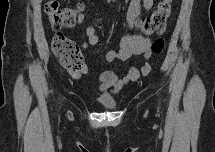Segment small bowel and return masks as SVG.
<instances>
[{
    "mask_svg": "<svg viewBox=\"0 0 215 152\" xmlns=\"http://www.w3.org/2000/svg\"><path fill=\"white\" fill-rule=\"evenodd\" d=\"M153 0H131L127 9V22L130 28H134L136 20L139 16L141 6L145 10H150L153 7ZM78 13L79 24L85 27L84 34L80 35L83 37L82 49L86 50L88 46H97L100 44L101 39L97 35L95 28L91 26L82 10L80 8L76 9ZM145 55L148 57L150 55V41L143 37L142 35L132 34L124 36L120 41L119 49H108L104 52V59L108 62L115 60H127L133 55ZM151 70L150 64L145 61L138 67H131L127 75L123 78H118L114 71L107 70L100 74L99 76V89L101 92H112L117 93L125 88L128 84L136 82L140 74L147 76ZM87 67L84 65L82 73H87Z\"/></svg>",
    "mask_w": 215,
    "mask_h": 152,
    "instance_id": "1",
    "label": "small bowel"
}]
</instances>
